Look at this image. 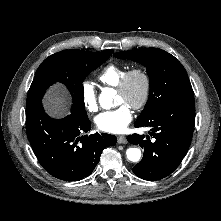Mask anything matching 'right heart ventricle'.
<instances>
[{
  "label": "right heart ventricle",
  "mask_w": 221,
  "mask_h": 221,
  "mask_svg": "<svg viewBox=\"0 0 221 221\" xmlns=\"http://www.w3.org/2000/svg\"><path fill=\"white\" fill-rule=\"evenodd\" d=\"M126 71L127 69L125 66L111 63L104 67L98 79L106 86L116 87Z\"/></svg>",
  "instance_id": "1"
}]
</instances>
